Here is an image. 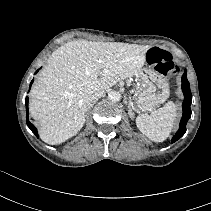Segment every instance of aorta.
<instances>
[{
	"label": "aorta",
	"mask_w": 211,
	"mask_h": 211,
	"mask_svg": "<svg viewBox=\"0 0 211 211\" xmlns=\"http://www.w3.org/2000/svg\"><path fill=\"white\" fill-rule=\"evenodd\" d=\"M108 97L112 101H119L121 99V94L117 91H110Z\"/></svg>",
	"instance_id": "obj_1"
}]
</instances>
